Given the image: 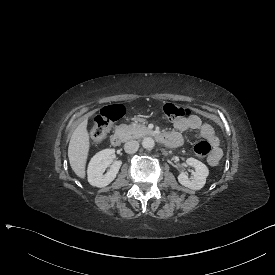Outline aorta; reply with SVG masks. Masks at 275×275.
<instances>
[{
  "label": "aorta",
  "mask_w": 275,
  "mask_h": 275,
  "mask_svg": "<svg viewBox=\"0 0 275 275\" xmlns=\"http://www.w3.org/2000/svg\"><path fill=\"white\" fill-rule=\"evenodd\" d=\"M144 149H153L155 147V141L151 137H146L142 141Z\"/></svg>",
  "instance_id": "762f6f07"
}]
</instances>
